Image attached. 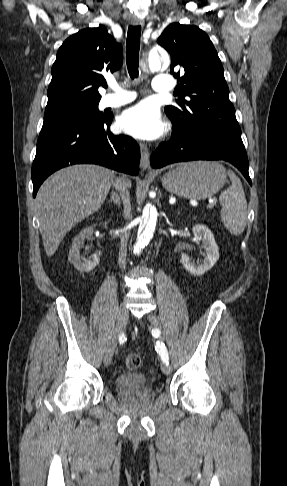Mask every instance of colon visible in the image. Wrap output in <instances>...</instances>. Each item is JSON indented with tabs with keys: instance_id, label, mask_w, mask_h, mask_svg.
I'll return each mask as SVG.
<instances>
[{
	"instance_id": "1",
	"label": "colon",
	"mask_w": 287,
	"mask_h": 486,
	"mask_svg": "<svg viewBox=\"0 0 287 486\" xmlns=\"http://www.w3.org/2000/svg\"><path fill=\"white\" fill-rule=\"evenodd\" d=\"M124 364L129 370H138L143 365V359L137 353H129L124 357Z\"/></svg>"
}]
</instances>
